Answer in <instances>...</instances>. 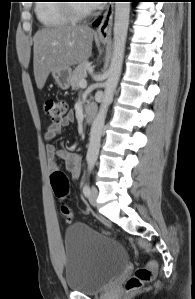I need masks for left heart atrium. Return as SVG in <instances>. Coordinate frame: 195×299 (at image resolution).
<instances>
[{
    "mask_svg": "<svg viewBox=\"0 0 195 299\" xmlns=\"http://www.w3.org/2000/svg\"><path fill=\"white\" fill-rule=\"evenodd\" d=\"M101 0H93L91 4H89L91 7H99L101 6L104 2H99Z\"/></svg>",
    "mask_w": 195,
    "mask_h": 299,
    "instance_id": "obj_1",
    "label": "left heart atrium"
}]
</instances>
